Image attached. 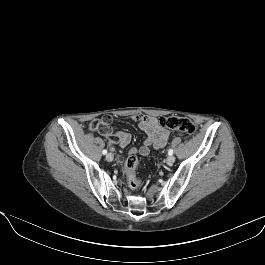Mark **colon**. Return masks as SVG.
<instances>
[{
    "instance_id": "colon-1",
    "label": "colon",
    "mask_w": 265,
    "mask_h": 265,
    "mask_svg": "<svg viewBox=\"0 0 265 265\" xmlns=\"http://www.w3.org/2000/svg\"><path fill=\"white\" fill-rule=\"evenodd\" d=\"M111 122L112 117L106 115L103 116L101 119L92 121V123L90 124V128L93 131L108 133L111 131ZM158 124L167 129L176 130L189 135L194 134L196 132V126L194 122L186 117H162L158 120ZM139 164V160L135 156H130L125 162L124 170L127 177L128 185L131 189H137L141 184V180L136 176V170L138 169Z\"/></svg>"
}]
</instances>
